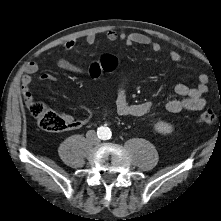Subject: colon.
Instances as JSON below:
<instances>
[{"label":"colon","instance_id":"5ec220e1","mask_svg":"<svg viewBox=\"0 0 221 221\" xmlns=\"http://www.w3.org/2000/svg\"><path fill=\"white\" fill-rule=\"evenodd\" d=\"M118 65L119 61L115 56L104 55L90 65V75L97 78L102 72L114 71ZM28 108L43 130L62 132L68 129L66 119L49 109L44 103L32 100L28 103ZM216 118V113L210 108L203 110L199 115V121L203 124H212L216 121Z\"/></svg>","mask_w":221,"mask_h":221}]
</instances>
